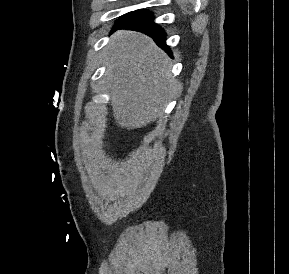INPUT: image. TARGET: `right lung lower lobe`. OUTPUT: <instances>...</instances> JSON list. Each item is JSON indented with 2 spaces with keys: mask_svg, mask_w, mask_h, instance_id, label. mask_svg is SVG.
Segmentation results:
<instances>
[{
  "mask_svg": "<svg viewBox=\"0 0 289 274\" xmlns=\"http://www.w3.org/2000/svg\"><path fill=\"white\" fill-rule=\"evenodd\" d=\"M117 29H129L143 32L152 37L157 45L164 49L170 56L172 55L171 49L165 43V31L154 22L153 14L150 12L146 11L140 14L139 16L122 24Z\"/></svg>",
  "mask_w": 289,
  "mask_h": 274,
  "instance_id": "98d812e1",
  "label": "right lung lower lobe"
}]
</instances>
